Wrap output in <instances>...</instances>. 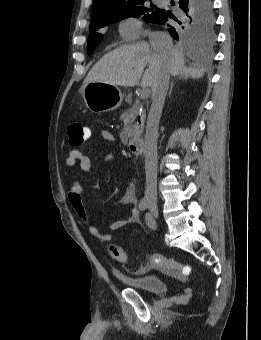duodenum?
I'll list each match as a JSON object with an SVG mask.
<instances>
[{
	"label": "duodenum",
	"mask_w": 261,
	"mask_h": 340,
	"mask_svg": "<svg viewBox=\"0 0 261 340\" xmlns=\"http://www.w3.org/2000/svg\"><path fill=\"white\" fill-rule=\"evenodd\" d=\"M128 148L133 155H141L144 148V140L139 136H135L129 140Z\"/></svg>",
	"instance_id": "duodenum-1"
}]
</instances>
